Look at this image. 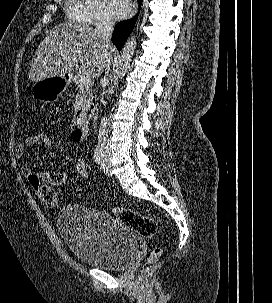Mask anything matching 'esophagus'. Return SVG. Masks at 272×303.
I'll use <instances>...</instances> for the list:
<instances>
[{
    "mask_svg": "<svg viewBox=\"0 0 272 303\" xmlns=\"http://www.w3.org/2000/svg\"><path fill=\"white\" fill-rule=\"evenodd\" d=\"M137 8H138V4H137V1H135L134 5H133V10H132L129 18H132L135 15V13L137 12Z\"/></svg>",
    "mask_w": 272,
    "mask_h": 303,
    "instance_id": "esophagus-1",
    "label": "esophagus"
}]
</instances>
